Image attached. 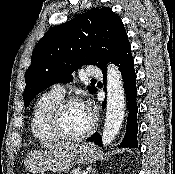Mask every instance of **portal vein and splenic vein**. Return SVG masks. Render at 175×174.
Here are the masks:
<instances>
[{"label":"portal vein and splenic vein","instance_id":"obj_1","mask_svg":"<svg viewBox=\"0 0 175 174\" xmlns=\"http://www.w3.org/2000/svg\"><path fill=\"white\" fill-rule=\"evenodd\" d=\"M82 174H88V172L87 171H83Z\"/></svg>","mask_w":175,"mask_h":174}]
</instances>
